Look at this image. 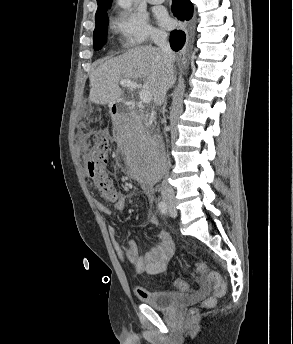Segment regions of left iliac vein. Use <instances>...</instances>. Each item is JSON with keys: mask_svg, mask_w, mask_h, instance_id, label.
<instances>
[{"mask_svg": "<svg viewBox=\"0 0 293 344\" xmlns=\"http://www.w3.org/2000/svg\"><path fill=\"white\" fill-rule=\"evenodd\" d=\"M176 214H177V212H176V210H175V208H169V215L171 216V217H175L176 216Z\"/></svg>", "mask_w": 293, "mask_h": 344, "instance_id": "4c4485c4", "label": "left iliac vein"}]
</instances>
